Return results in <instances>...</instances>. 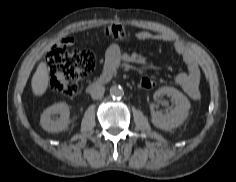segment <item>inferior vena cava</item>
Returning <instances> with one entry per match:
<instances>
[{
    "instance_id": "1",
    "label": "inferior vena cava",
    "mask_w": 236,
    "mask_h": 182,
    "mask_svg": "<svg viewBox=\"0 0 236 182\" xmlns=\"http://www.w3.org/2000/svg\"><path fill=\"white\" fill-rule=\"evenodd\" d=\"M105 88L102 85H95L90 94L93 99H99L104 95Z\"/></svg>"
}]
</instances>
